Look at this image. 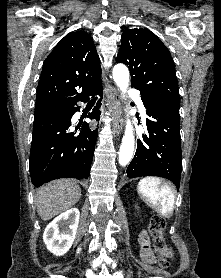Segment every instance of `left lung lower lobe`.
<instances>
[{"mask_svg":"<svg viewBox=\"0 0 221 278\" xmlns=\"http://www.w3.org/2000/svg\"><path fill=\"white\" fill-rule=\"evenodd\" d=\"M141 99L148 116V133L137 141V150L127 168V176L164 177L179 189L182 171L179 107L146 94H141Z\"/></svg>","mask_w":221,"mask_h":278,"instance_id":"0a47b994","label":"left lung lower lobe"}]
</instances>
